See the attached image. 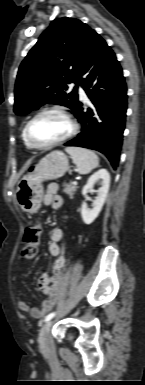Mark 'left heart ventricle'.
Segmentation results:
<instances>
[{"label":"left heart ventricle","instance_id":"1","mask_svg":"<svg viewBox=\"0 0 145 385\" xmlns=\"http://www.w3.org/2000/svg\"><path fill=\"white\" fill-rule=\"evenodd\" d=\"M69 129V123L63 116L46 113L33 122L30 138L37 145H47L64 137Z\"/></svg>","mask_w":145,"mask_h":385}]
</instances>
